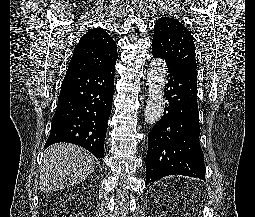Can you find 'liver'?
<instances>
[{"instance_id": "obj_1", "label": "liver", "mask_w": 255, "mask_h": 217, "mask_svg": "<svg viewBox=\"0 0 255 217\" xmlns=\"http://www.w3.org/2000/svg\"><path fill=\"white\" fill-rule=\"evenodd\" d=\"M95 168L93 155L69 143L50 146L44 153L39 177L41 192L49 193L85 180Z\"/></svg>"}]
</instances>
